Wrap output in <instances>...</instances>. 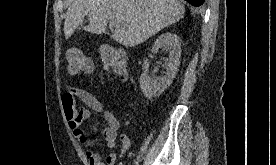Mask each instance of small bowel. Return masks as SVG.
Wrapping results in <instances>:
<instances>
[{
	"mask_svg": "<svg viewBox=\"0 0 276 165\" xmlns=\"http://www.w3.org/2000/svg\"><path fill=\"white\" fill-rule=\"evenodd\" d=\"M77 100L83 102L85 107L77 109L75 106ZM61 102L65 118L70 129L73 131L75 139L85 148L89 165H115L118 156L114 152V149L116 148L118 130L120 128V122L117 117L112 112L106 110L94 94L81 88L68 87L62 94ZM91 111L99 113L107 124L102 131V136L112 151L105 158L91 148L90 142L81 128L83 122L89 118ZM120 142L123 153L129 149L130 139L127 135L122 134Z\"/></svg>",
	"mask_w": 276,
	"mask_h": 165,
	"instance_id": "small-bowel-1",
	"label": "small bowel"
}]
</instances>
